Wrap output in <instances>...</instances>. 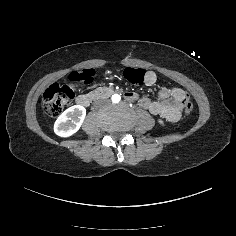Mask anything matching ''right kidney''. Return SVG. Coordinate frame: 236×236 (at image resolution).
<instances>
[{
  "instance_id": "right-kidney-1",
  "label": "right kidney",
  "mask_w": 236,
  "mask_h": 236,
  "mask_svg": "<svg viewBox=\"0 0 236 236\" xmlns=\"http://www.w3.org/2000/svg\"><path fill=\"white\" fill-rule=\"evenodd\" d=\"M86 117V109L81 105H74L66 109L54 123V133L67 138L79 131Z\"/></svg>"
}]
</instances>
